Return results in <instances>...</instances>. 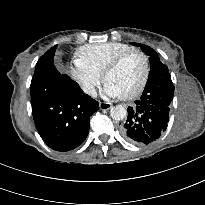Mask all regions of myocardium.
I'll return each mask as SVG.
<instances>
[{
    "instance_id": "obj_1",
    "label": "myocardium",
    "mask_w": 205,
    "mask_h": 205,
    "mask_svg": "<svg viewBox=\"0 0 205 205\" xmlns=\"http://www.w3.org/2000/svg\"><path fill=\"white\" fill-rule=\"evenodd\" d=\"M131 54H137L141 57V59L143 61V74H142V77H141L138 85L135 87V89L132 90L131 92L121 96V98L125 99V100H129V99H133V98L137 97L144 90V88L148 82L149 75H150V62H149V58L146 55V53H144L142 50L137 49V48H130L128 50H125V51L119 53L117 56H115L106 65V67L104 68L102 75H101L102 80L105 82L107 75L109 73H111L112 71H114L121 64V62Z\"/></svg>"
}]
</instances>
